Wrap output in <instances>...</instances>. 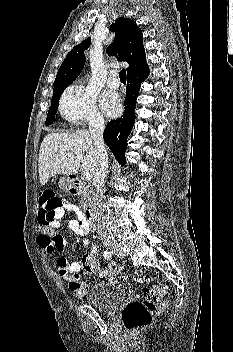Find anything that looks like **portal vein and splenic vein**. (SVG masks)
Segmentation results:
<instances>
[{
  "mask_svg": "<svg viewBox=\"0 0 233 352\" xmlns=\"http://www.w3.org/2000/svg\"><path fill=\"white\" fill-rule=\"evenodd\" d=\"M84 177L86 180H91L92 179V174L90 172H85Z\"/></svg>",
  "mask_w": 233,
  "mask_h": 352,
  "instance_id": "18ae733b",
  "label": "portal vein and splenic vein"
}]
</instances>
